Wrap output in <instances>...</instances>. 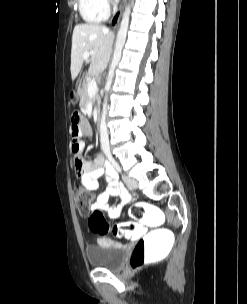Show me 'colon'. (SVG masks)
Instances as JSON below:
<instances>
[{"instance_id": "5ec220e1", "label": "colon", "mask_w": 247, "mask_h": 304, "mask_svg": "<svg viewBox=\"0 0 247 304\" xmlns=\"http://www.w3.org/2000/svg\"><path fill=\"white\" fill-rule=\"evenodd\" d=\"M92 200L93 195L89 191L80 187L75 189V205L82 215L90 214ZM130 214L135 220L141 221V225H156L155 229H149L146 233V227L134 222H122L110 226L104 221L100 211H94L90 215L89 225L94 233L101 235L112 233L115 236H125L126 241H135L136 238H139L130 258L133 269L142 267L150 259H166L170 248L175 246V237L171 225H163L166 216L159 203L134 202Z\"/></svg>"}]
</instances>
